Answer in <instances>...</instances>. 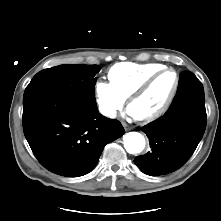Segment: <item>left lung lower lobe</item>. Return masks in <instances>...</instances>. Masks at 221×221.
Listing matches in <instances>:
<instances>
[{
  "label": "left lung lower lobe",
  "instance_id": "1",
  "mask_svg": "<svg viewBox=\"0 0 221 221\" xmlns=\"http://www.w3.org/2000/svg\"><path fill=\"white\" fill-rule=\"evenodd\" d=\"M204 89L191 72L180 75L177 93L168 111L141 127L151 151L134 163L145 174L158 176L179 169L195 151L206 128Z\"/></svg>",
  "mask_w": 221,
  "mask_h": 221
}]
</instances>
